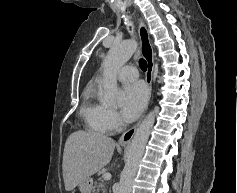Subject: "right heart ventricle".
I'll return each mask as SVG.
<instances>
[{"label":"right heart ventricle","mask_w":237,"mask_h":193,"mask_svg":"<svg viewBox=\"0 0 237 193\" xmlns=\"http://www.w3.org/2000/svg\"><path fill=\"white\" fill-rule=\"evenodd\" d=\"M107 110L108 108L97 97L96 86L89 83L83 90L80 108V115L89 131L97 134H106L111 131L106 120Z\"/></svg>","instance_id":"obj_1"}]
</instances>
